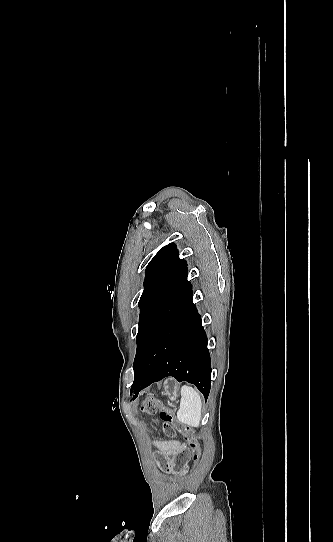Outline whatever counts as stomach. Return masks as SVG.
<instances>
[{
	"instance_id": "obj_1",
	"label": "stomach",
	"mask_w": 333,
	"mask_h": 542,
	"mask_svg": "<svg viewBox=\"0 0 333 542\" xmlns=\"http://www.w3.org/2000/svg\"><path fill=\"white\" fill-rule=\"evenodd\" d=\"M170 382H173L172 388L170 386ZM163 388H164L165 396H168L171 402H176L178 398V388H177V384L175 380H165Z\"/></svg>"
}]
</instances>
